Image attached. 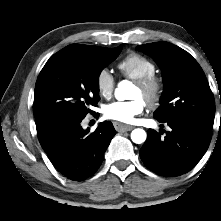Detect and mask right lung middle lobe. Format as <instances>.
<instances>
[{
    "mask_svg": "<svg viewBox=\"0 0 221 221\" xmlns=\"http://www.w3.org/2000/svg\"><path fill=\"white\" fill-rule=\"evenodd\" d=\"M112 51L78 52L62 49L41 70L35 85L34 116L39 140L65 122L85 118L100 100L99 75L115 60Z\"/></svg>",
    "mask_w": 221,
    "mask_h": 221,
    "instance_id": "obj_1",
    "label": "right lung middle lobe"
}]
</instances>
